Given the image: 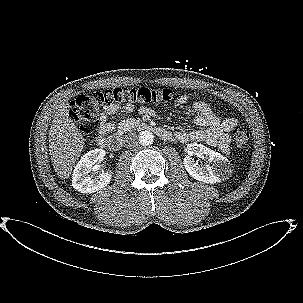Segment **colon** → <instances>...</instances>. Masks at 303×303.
Masks as SVG:
<instances>
[{"label": "colon", "instance_id": "colon-1", "mask_svg": "<svg viewBox=\"0 0 303 303\" xmlns=\"http://www.w3.org/2000/svg\"><path fill=\"white\" fill-rule=\"evenodd\" d=\"M170 98L169 89L148 87L109 89L77 96L70 103L69 116L86 136H91L98 129L99 113L106 106L112 104L144 106L153 102L167 101ZM232 136L235 145L239 148L245 147L249 141V133L243 128L234 129Z\"/></svg>", "mask_w": 303, "mask_h": 303}]
</instances>
